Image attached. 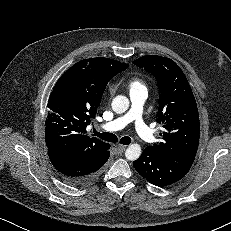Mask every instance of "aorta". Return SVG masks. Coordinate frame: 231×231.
<instances>
[{"mask_svg":"<svg viewBox=\"0 0 231 231\" xmlns=\"http://www.w3.org/2000/svg\"><path fill=\"white\" fill-rule=\"evenodd\" d=\"M112 109L117 114L126 112L129 108V99L125 96H116L112 101ZM141 155V147L139 144L134 143L128 146L125 151V157L127 160H137Z\"/></svg>","mask_w":231,"mask_h":231,"instance_id":"762f6f07","label":"aorta"}]
</instances>
